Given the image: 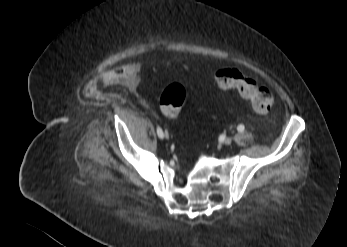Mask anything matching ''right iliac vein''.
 Instances as JSON below:
<instances>
[{"label":"right iliac vein","instance_id":"63e3f726","mask_svg":"<svg viewBox=\"0 0 347 247\" xmlns=\"http://www.w3.org/2000/svg\"><path fill=\"white\" fill-rule=\"evenodd\" d=\"M165 136L168 137V133L167 132H165Z\"/></svg>","mask_w":347,"mask_h":247}]
</instances>
